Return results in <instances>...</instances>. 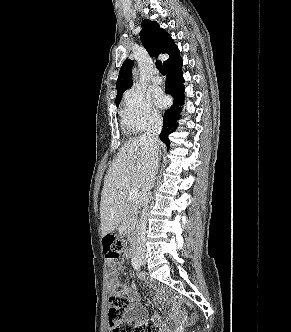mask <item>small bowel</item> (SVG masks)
<instances>
[{"label":"small bowel","mask_w":291,"mask_h":332,"mask_svg":"<svg viewBox=\"0 0 291 332\" xmlns=\"http://www.w3.org/2000/svg\"><path fill=\"white\" fill-rule=\"evenodd\" d=\"M109 265L111 267L109 273V279L111 283H115L118 278V274L122 269L120 263L116 262L115 260H110ZM140 278H143L142 274H138ZM131 309H130V321L136 324L143 323V319L146 317L147 313L145 308L139 304L136 297H131ZM155 301L157 304H161L163 302L162 291L159 288H155ZM152 321H158L160 316L158 314H153L151 317ZM173 320L175 322H183L184 321V314L180 311H175L173 313Z\"/></svg>","instance_id":"small-bowel-1"}]
</instances>
